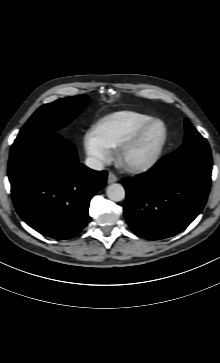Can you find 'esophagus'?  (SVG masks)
<instances>
[{
    "instance_id": "1",
    "label": "esophagus",
    "mask_w": 220,
    "mask_h": 363,
    "mask_svg": "<svg viewBox=\"0 0 220 363\" xmlns=\"http://www.w3.org/2000/svg\"><path fill=\"white\" fill-rule=\"evenodd\" d=\"M117 180H118V178L115 176V174H114V173H112V172H109V173H108L107 182H108L109 184L114 183V182H116Z\"/></svg>"
}]
</instances>
